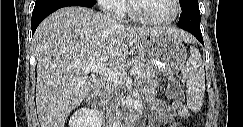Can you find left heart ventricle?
Listing matches in <instances>:
<instances>
[{
	"label": "left heart ventricle",
	"instance_id": "obj_1",
	"mask_svg": "<svg viewBox=\"0 0 243 127\" xmlns=\"http://www.w3.org/2000/svg\"><path fill=\"white\" fill-rule=\"evenodd\" d=\"M136 9L149 19H166L174 11L171 0H137Z\"/></svg>",
	"mask_w": 243,
	"mask_h": 127
}]
</instances>
